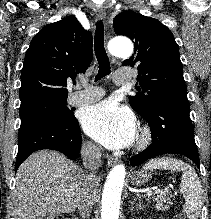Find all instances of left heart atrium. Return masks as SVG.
<instances>
[{
  "label": "left heart atrium",
  "mask_w": 211,
  "mask_h": 219,
  "mask_svg": "<svg viewBox=\"0 0 211 219\" xmlns=\"http://www.w3.org/2000/svg\"><path fill=\"white\" fill-rule=\"evenodd\" d=\"M82 125L88 135L110 149L125 148L136 136L133 114L113 101L88 108L82 117Z\"/></svg>",
  "instance_id": "39dd6f15"
}]
</instances>
